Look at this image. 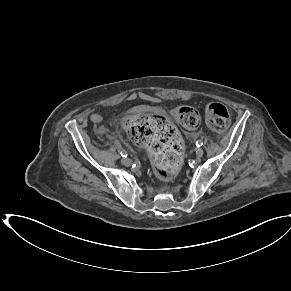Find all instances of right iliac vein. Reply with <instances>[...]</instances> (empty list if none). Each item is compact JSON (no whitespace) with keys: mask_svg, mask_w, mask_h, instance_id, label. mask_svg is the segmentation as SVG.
Instances as JSON below:
<instances>
[{"mask_svg":"<svg viewBox=\"0 0 291 291\" xmlns=\"http://www.w3.org/2000/svg\"><path fill=\"white\" fill-rule=\"evenodd\" d=\"M122 163L126 166H129L131 164V160L128 157L122 158Z\"/></svg>","mask_w":291,"mask_h":291,"instance_id":"right-iliac-vein-1","label":"right iliac vein"}]
</instances>
